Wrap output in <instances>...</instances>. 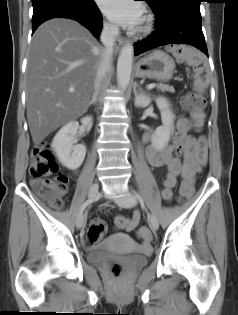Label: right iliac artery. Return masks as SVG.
Listing matches in <instances>:
<instances>
[{"label":"right iliac artery","instance_id":"obj_1","mask_svg":"<svg viewBox=\"0 0 238 315\" xmlns=\"http://www.w3.org/2000/svg\"><path fill=\"white\" fill-rule=\"evenodd\" d=\"M92 202H93V199H88V200H86V201L83 203V205H82V207H81V209H80V214H82L83 211H84Z\"/></svg>","mask_w":238,"mask_h":315}]
</instances>
